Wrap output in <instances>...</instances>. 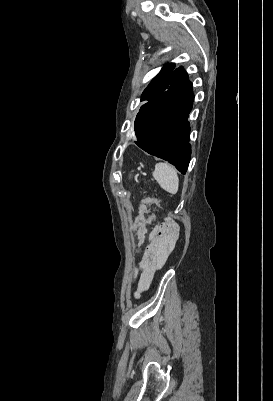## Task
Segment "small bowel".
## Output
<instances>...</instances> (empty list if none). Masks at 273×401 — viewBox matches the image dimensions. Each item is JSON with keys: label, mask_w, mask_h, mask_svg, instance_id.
I'll list each match as a JSON object with an SVG mask.
<instances>
[{"label": "small bowel", "mask_w": 273, "mask_h": 401, "mask_svg": "<svg viewBox=\"0 0 273 401\" xmlns=\"http://www.w3.org/2000/svg\"><path fill=\"white\" fill-rule=\"evenodd\" d=\"M138 227L143 224H152L154 218L152 215H140L134 218ZM155 228H160L157 226ZM155 228L148 234V245L144 251L140 263L133 269L132 282L135 284L134 297L138 298L140 294L148 290L154 280L155 273L165 263L174 241H153L152 234ZM138 241L141 243L145 239V231L140 229L137 234Z\"/></svg>", "instance_id": "small-bowel-1"}]
</instances>
